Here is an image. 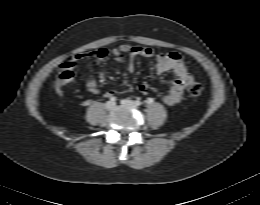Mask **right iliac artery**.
<instances>
[{
  "mask_svg": "<svg viewBox=\"0 0 260 205\" xmlns=\"http://www.w3.org/2000/svg\"><path fill=\"white\" fill-rule=\"evenodd\" d=\"M110 101H111V102H115V101H116V97L111 96V97H110Z\"/></svg>",
  "mask_w": 260,
  "mask_h": 205,
  "instance_id": "82829eb1",
  "label": "right iliac artery"
}]
</instances>
